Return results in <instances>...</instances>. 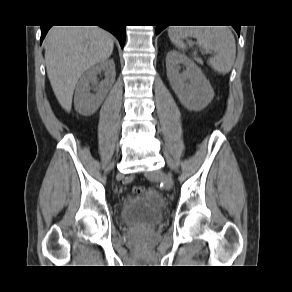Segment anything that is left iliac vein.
Segmentation results:
<instances>
[{
	"instance_id": "obj_1",
	"label": "left iliac vein",
	"mask_w": 292,
	"mask_h": 292,
	"mask_svg": "<svg viewBox=\"0 0 292 292\" xmlns=\"http://www.w3.org/2000/svg\"><path fill=\"white\" fill-rule=\"evenodd\" d=\"M146 176L151 180H160L166 190H171L173 187V179L170 174L163 172L162 170H155L146 173Z\"/></svg>"
}]
</instances>
